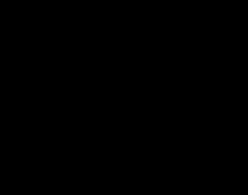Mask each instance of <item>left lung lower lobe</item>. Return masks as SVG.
<instances>
[{
  "label": "left lung lower lobe",
  "mask_w": 248,
  "mask_h": 195,
  "mask_svg": "<svg viewBox=\"0 0 248 195\" xmlns=\"http://www.w3.org/2000/svg\"><path fill=\"white\" fill-rule=\"evenodd\" d=\"M217 88L175 90L146 108L147 124L139 131L144 153L153 161L182 167L206 150L219 114Z\"/></svg>",
  "instance_id": "1"
}]
</instances>
